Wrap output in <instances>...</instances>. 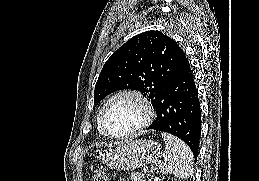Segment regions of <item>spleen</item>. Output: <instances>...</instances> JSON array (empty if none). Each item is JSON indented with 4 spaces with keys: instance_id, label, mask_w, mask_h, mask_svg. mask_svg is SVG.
<instances>
[{
    "instance_id": "3e777b00",
    "label": "spleen",
    "mask_w": 259,
    "mask_h": 181,
    "mask_svg": "<svg viewBox=\"0 0 259 181\" xmlns=\"http://www.w3.org/2000/svg\"><path fill=\"white\" fill-rule=\"evenodd\" d=\"M166 147L163 153L165 162L159 169L162 174H172L178 178H189L193 174V154L190 148L179 138L162 133Z\"/></svg>"
}]
</instances>
